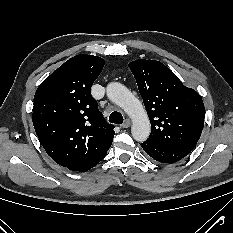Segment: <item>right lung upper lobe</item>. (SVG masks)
I'll list each match as a JSON object with an SVG mask.
<instances>
[{"label": "right lung upper lobe", "instance_id": "right-lung-upper-lobe-1", "mask_svg": "<svg viewBox=\"0 0 233 233\" xmlns=\"http://www.w3.org/2000/svg\"><path fill=\"white\" fill-rule=\"evenodd\" d=\"M103 67L100 57L76 55L48 76L34 96L32 120L41 145L56 163L73 171L91 168L113 141L114 126L91 96Z\"/></svg>", "mask_w": 233, "mask_h": 233}]
</instances>
